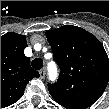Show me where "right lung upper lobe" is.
I'll use <instances>...</instances> for the list:
<instances>
[{
	"label": "right lung upper lobe",
	"instance_id": "obj_1",
	"mask_svg": "<svg viewBox=\"0 0 109 109\" xmlns=\"http://www.w3.org/2000/svg\"><path fill=\"white\" fill-rule=\"evenodd\" d=\"M26 38L17 33L1 36V108L12 105L24 94L29 80L39 73L24 55Z\"/></svg>",
	"mask_w": 109,
	"mask_h": 109
}]
</instances>
